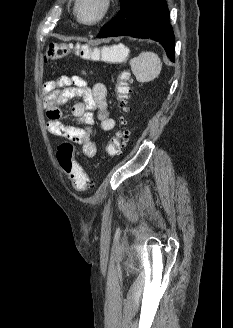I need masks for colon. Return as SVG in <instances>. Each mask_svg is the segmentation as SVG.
Listing matches in <instances>:
<instances>
[{"mask_svg":"<svg viewBox=\"0 0 233 328\" xmlns=\"http://www.w3.org/2000/svg\"><path fill=\"white\" fill-rule=\"evenodd\" d=\"M69 54H74L86 60L92 61H121L127 56V52L117 45L102 48H93L87 44L74 43H51L45 53V61L59 60ZM131 76L123 71L118 76L115 84V93L119 109L123 113L129 111V99L131 95ZM129 132L122 121L120 127L110 139L106 152L109 157L119 155L124 148ZM57 159L60 167L69 175L75 189L86 191L91 187L90 180L82 166L76 159L75 148L70 141H63L57 148Z\"/></svg>","mask_w":233,"mask_h":328,"instance_id":"5ec220e1","label":"colon"}]
</instances>
